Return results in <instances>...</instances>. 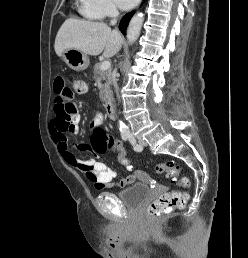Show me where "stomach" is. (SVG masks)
Wrapping results in <instances>:
<instances>
[{"label": "stomach", "mask_w": 248, "mask_h": 258, "mask_svg": "<svg viewBox=\"0 0 248 258\" xmlns=\"http://www.w3.org/2000/svg\"><path fill=\"white\" fill-rule=\"evenodd\" d=\"M63 61L73 70L82 71L89 66L87 55L75 49H66L62 54Z\"/></svg>", "instance_id": "1"}]
</instances>
